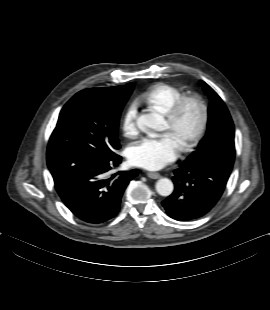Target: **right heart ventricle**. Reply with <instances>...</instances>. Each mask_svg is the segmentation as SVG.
Instances as JSON below:
<instances>
[{"instance_id":"1","label":"right heart ventricle","mask_w":270,"mask_h":310,"mask_svg":"<svg viewBox=\"0 0 270 310\" xmlns=\"http://www.w3.org/2000/svg\"><path fill=\"white\" fill-rule=\"evenodd\" d=\"M185 95V93L171 84L161 83L153 86L141 95V99L148 105L167 114L173 105Z\"/></svg>"}]
</instances>
